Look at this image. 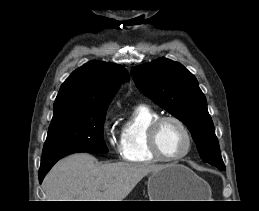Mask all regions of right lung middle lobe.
Wrapping results in <instances>:
<instances>
[{"label":"right lung middle lobe","instance_id":"right-lung-middle-lobe-1","mask_svg":"<svg viewBox=\"0 0 259 211\" xmlns=\"http://www.w3.org/2000/svg\"><path fill=\"white\" fill-rule=\"evenodd\" d=\"M106 110L75 108L53 116L41 164L76 152H108L103 138Z\"/></svg>","mask_w":259,"mask_h":211}]
</instances>
